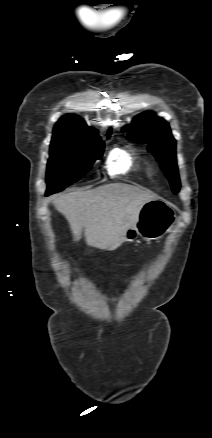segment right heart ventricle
Listing matches in <instances>:
<instances>
[{
	"label": "right heart ventricle",
	"mask_w": 212,
	"mask_h": 438,
	"mask_svg": "<svg viewBox=\"0 0 212 438\" xmlns=\"http://www.w3.org/2000/svg\"><path fill=\"white\" fill-rule=\"evenodd\" d=\"M136 165V158L132 152L123 149H114L107 160L110 174H125Z\"/></svg>",
	"instance_id": "1"
}]
</instances>
